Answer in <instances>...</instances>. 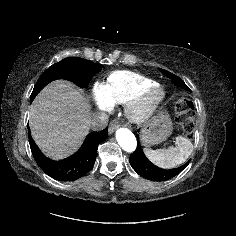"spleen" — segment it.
I'll use <instances>...</instances> for the list:
<instances>
[{"label": "spleen", "mask_w": 236, "mask_h": 236, "mask_svg": "<svg viewBox=\"0 0 236 236\" xmlns=\"http://www.w3.org/2000/svg\"><path fill=\"white\" fill-rule=\"evenodd\" d=\"M175 144L164 149H145L144 153L155 165L164 169L174 168L184 163L193 152V144L186 137L177 136Z\"/></svg>", "instance_id": "3e777b00"}]
</instances>
